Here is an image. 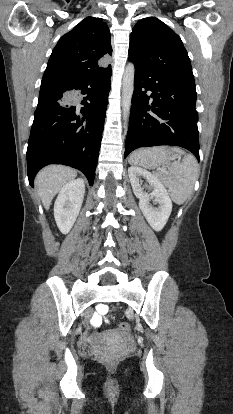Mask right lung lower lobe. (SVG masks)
<instances>
[{
	"label": "right lung lower lobe",
	"mask_w": 233,
	"mask_h": 414,
	"mask_svg": "<svg viewBox=\"0 0 233 414\" xmlns=\"http://www.w3.org/2000/svg\"><path fill=\"white\" fill-rule=\"evenodd\" d=\"M111 69L75 80H42L27 148L29 183L48 164L81 170L92 185L110 91ZM86 95L79 106V95Z\"/></svg>",
	"instance_id": "98d812e1"
}]
</instances>
